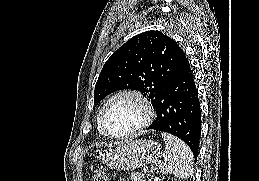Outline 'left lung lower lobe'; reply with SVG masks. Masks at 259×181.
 I'll return each mask as SVG.
<instances>
[{"label": "left lung lower lobe", "mask_w": 259, "mask_h": 181, "mask_svg": "<svg viewBox=\"0 0 259 181\" xmlns=\"http://www.w3.org/2000/svg\"><path fill=\"white\" fill-rule=\"evenodd\" d=\"M178 72L164 88L155 107L157 118L148 129L164 131L183 140L197 159L200 133L201 109L194 76L182 49Z\"/></svg>", "instance_id": "left-lung-lower-lobe-1"}]
</instances>
